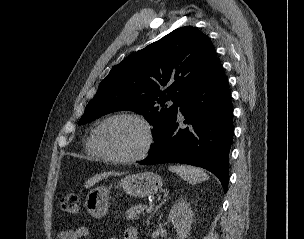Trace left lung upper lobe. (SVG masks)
Wrapping results in <instances>:
<instances>
[{
	"mask_svg": "<svg viewBox=\"0 0 304 239\" xmlns=\"http://www.w3.org/2000/svg\"><path fill=\"white\" fill-rule=\"evenodd\" d=\"M215 59V49L205 34L192 26L178 28L114 66L78 125L110 112L137 111L154 126L156 141Z\"/></svg>",
	"mask_w": 304,
	"mask_h": 239,
	"instance_id": "obj_1",
	"label": "left lung upper lobe"
}]
</instances>
